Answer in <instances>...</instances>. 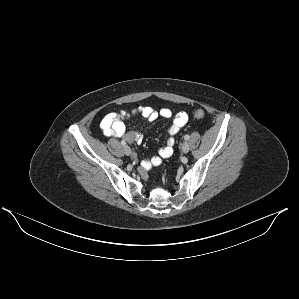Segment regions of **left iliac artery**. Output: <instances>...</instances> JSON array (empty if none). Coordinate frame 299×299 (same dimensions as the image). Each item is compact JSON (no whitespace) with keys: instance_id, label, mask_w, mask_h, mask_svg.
<instances>
[{"instance_id":"obj_1","label":"left iliac artery","mask_w":299,"mask_h":299,"mask_svg":"<svg viewBox=\"0 0 299 299\" xmlns=\"http://www.w3.org/2000/svg\"><path fill=\"white\" fill-rule=\"evenodd\" d=\"M184 139L188 140L189 139V135H185Z\"/></svg>"}]
</instances>
